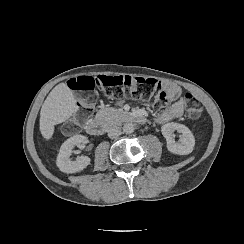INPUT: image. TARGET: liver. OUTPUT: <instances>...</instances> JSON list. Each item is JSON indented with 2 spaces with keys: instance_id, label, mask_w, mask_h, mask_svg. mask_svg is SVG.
Masks as SVG:
<instances>
[{
  "instance_id": "1",
  "label": "liver",
  "mask_w": 244,
  "mask_h": 244,
  "mask_svg": "<svg viewBox=\"0 0 244 244\" xmlns=\"http://www.w3.org/2000/svg\"><path fill=\"white\" fill-rule=\"evenodd\" d=\"M76 110V99L65 83L55 86L47 96L40 110V132L49 140L54 126L66 121Z\"/></svg>"
}]
</instances>
